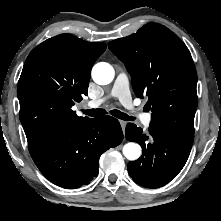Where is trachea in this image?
Returning a JSON list of instances; mask_svg holds the SVG:
<instances>
[{"mask_svg": "<svg viewBox=\"0 0 221 221\" xmlns=\"http://www.w3.org/2000/svg\"><path fill=\"white\" fill-rule=\"evenodd\" d=\"M82 112L84 114H86L88 116H92V117H98V116H102V115L106 114V111L104 109H100V108L82 110ZM110 114L113 115L116 118H119V119H122V120H125V121H132V120L135 119L134 117L128 116L126 113H123V112H121L119 110H116V109L111 110Z\"/></svg>", "mask_w": 221, "mask_h": 221, "instance_id": "trachea-1", "label": "trachea"}]
</instances>
